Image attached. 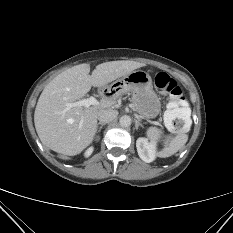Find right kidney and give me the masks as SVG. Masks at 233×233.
<instances>
[{"label": "right kidney", "mask_w": 233, "mask_h": 233, "mask_svg": "<svg viewBox=\"0 0 233 233\" xmlns=\"http://www.w3.org/2000/svg\"><path fill=\"white\" fill-rule=\"evenodd\" d=\"M93 150H94L93 147L88 148L84 154L85 157H89L92 154Z\"/></svg>", "instance_id": "1"}]
</instances>
